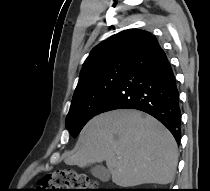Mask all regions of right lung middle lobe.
<instances>
[{
  "label": "right lung middle lobe",
  "mask_w": 210,
  "mask_h": 191,
  "mask_svg": "<svg viewBox=\"0 0 210 191\" xmlns=\"http://www.w3.org/2000/svg\"><path fill=\"white\" fill-rule=\"evenodd\" d=\"M130 60H116L94 71L73 95L66 127L77 136L84 125L98 114L102 104L125 73Z\"/></svg>",
  "instance_id": "1"
}]
</instances>
